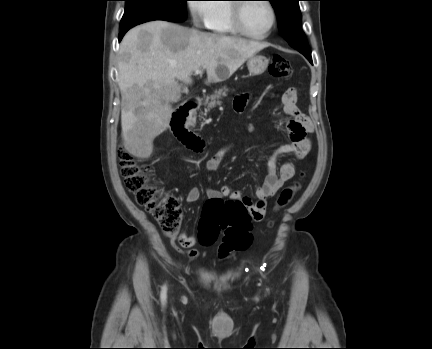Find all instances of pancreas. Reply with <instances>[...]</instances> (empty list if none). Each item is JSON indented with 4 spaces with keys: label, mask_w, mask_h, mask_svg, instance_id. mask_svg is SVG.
Returning <instances> with one entry per match:
<instances>
[{
    "label": "pancreas",
    "mask_w": 432,
    "mask_h": 349,
    "mask_svg": "<svg viewBox=\"0 0 432 349\" xmlns=\"http://www.w3.org/2000/svg\"><path fill=\"white\" fill-rule=\"evenodd\" d=\"M228 89L226 87H223L219 90H216L212 95L207 96L205 99L204 105L206 106L204 108L205 113L201 112V115H206L207 112H209L211 109L216 107L217 105L221 104V99L223 97L227 96Z\"/></svg>",
    "instance_id": "pancreas-1"
}]
</instances>
